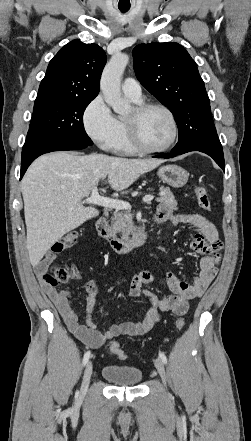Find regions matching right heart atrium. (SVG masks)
I'll list each match as a JSON object with an SVG mask.
<instances>
[{
  "instance_id": "1",
  "label": "right heart atrium",
  "mask_w": 251,
  "mask_h": 441,
  "mask_svg": "<svg viewBox=\"0 0 251 441\" xmlns=\"http://www.w3.org/2000/svg\"><path fill=\"white\" fill-rule=\"evenodd\" d=\"M83 125L90 139L103 149H110L119 133L118 120L102 95L95 96L84 109Z\"/></svg>"
}]
</instances>
